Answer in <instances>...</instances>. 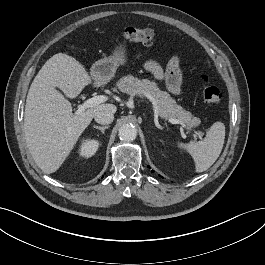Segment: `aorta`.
<instances>
[{
  "mask_svg": "<svg viewBox=\"0 0 265 265\" xmlns=\"http://www.w3.org/2000/svg\"><path fill=\"white\" fill-rule=\"evenodd\" d=\"M118 135L122 141L129 142L136 139L137 131L131 124H123L119 129Z\"/></svg>",
  "mask_w": 265,
  "mask_h": 265,
  "instance_id": "1",
  "label": "aorta"
}]
</instances>
